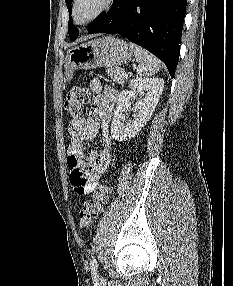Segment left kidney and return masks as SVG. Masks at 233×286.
<instances>
[{
    "mask_svg": "<svg viewBox=\"0 0 233 286\" xmlns=\"http://www.w3.org/2000/svg\"><path fill=\"white\" fill-rule=\"evenodd\" d=\"M164 88L159 78H136L130 82V90L121 92L111 124L112 137L120 142L134 137L150 119ZM135 105L131 109L130 101ZM133 110L132 119L124 122L125 113Z\"/></svg>",
    "mask_w": 233,
    "mask_h": 286,
    "instance_id": "5707ae66",
    "label": "left kidney"
}]
</instances>
